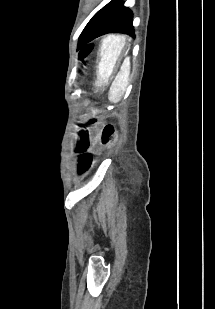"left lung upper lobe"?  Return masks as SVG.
<instances>
[{
	"instance_id": "1",
	"label": "left lung upper lobe",
	"mask_w": 215,
	"mask_h": 309,
	"mask_svg": "<svg viewBox=\"0 0 215 309\" xmlns=\"http://www.w3.org/2000/svg\"><path fill=\"white\" fill-rule=\"evenodd\" d=\"M132 12L123 6V2H110L98 11L84 28L79 44L113 32L135 36Z\"/></svg>"
}]
</instances>
